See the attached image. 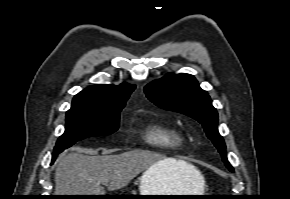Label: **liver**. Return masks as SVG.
I'll list each match as a JSON object with an SVG mask.
<instances>
[{
	"label": "liver",
	"mask_w": 290,
	"mask_h": 199,
	"mask_svg": "<svg viewBox=\"0 0 290 199\" xmlns=\"http://www.w3.org/2000/svg\"><path fill=\"white\" fill-rule=\"evenodd\" d=\"M156 164L178 179L175 193H193V180L200 173L195 166L151 151L131 150L107 156H88L81 152L62 155L55 171V195H105L101 184L109 182L110 191L121 189Z\"/></svg>",
	"instance_id": "obj_1"
}]
</instances>
